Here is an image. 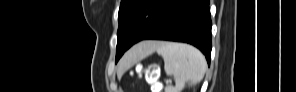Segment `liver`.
I'll list each match as a JSON object with an SVG mask.
<instances>
[{
    "label": "liver",
    "mask_w": 296,
    "mask_h": 92,
    "mask_svg": "<svg viewBox=\"0 0 296 92\" xmlns=\"http://www.w3.org/2000/svg\"><path fill=\"white\" fill-rule=\"evenodd\" d=\"M155 44V42L151 41L142 42L127 52L119 64L118 74L123 73L124 70L134 65L148 53H152L154 51Z\"/></svg>",
    "instance_id": "liver-1"
}]
</instances>
